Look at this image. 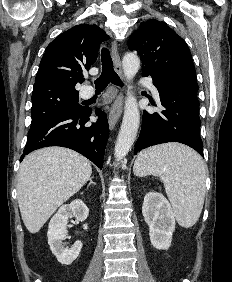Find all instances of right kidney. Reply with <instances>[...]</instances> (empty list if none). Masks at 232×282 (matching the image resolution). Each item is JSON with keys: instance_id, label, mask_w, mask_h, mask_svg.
Segmentation results:
<instances>
[{"instance_id": "1", "label": "right kidney", "mask_w": 232, "mask_h": 282, "mask_svg": "<svg viewBox=\"0 0 232 282\" xmlns=\"http://www.w3.org/2000/svg\"><path fill=\"white\" fill-rule=\"evenodd\" d=\"M89 215V209L82 200H74L70 204L62 205L58 212L51 218L47 237L48 244L57 260L64 265H70L79 255L82 243L76 241L71 248L63 245L66 238L68 219L75 217L79 221H84Z\"/></svg>"}]
</instances>
